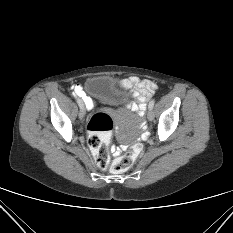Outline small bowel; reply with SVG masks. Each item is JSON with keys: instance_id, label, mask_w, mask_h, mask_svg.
<instances>
[{"instance_id": "small-bowel-1", "label": "small bowel", "mask_w": 233, "mask_h": 233, "mask_svg": "<svg viewBox=\"0 0 233 233\" xmlns=\"http://www.w3.org/2000/svg\"><path fill=\"white\" fill-rule=\"evenodd\" d=\"M128 84L134 89V98L136 99V103L128 106V108L137 112L139 116H142L146 108V103L155 93L157 85L151 80L140 79L136 76L130 77ZM73 94L74 96L81 97L88 109L94 107V102L85 94L82 85H74ZM112 153L114 156H118L121 153V149L113 146Z\"/></svg>"}]
</instances>
